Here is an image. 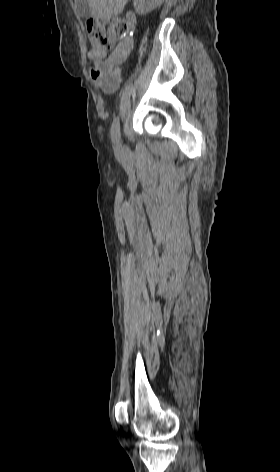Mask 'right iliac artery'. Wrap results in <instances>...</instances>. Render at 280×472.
<instances>
[{"label": "right iliac artery", "mask_w": 280, "mask_h": 472, "mask_svg": "<svg viewBox=\"0 0 280 472\" xmlns=\"http://www.w3.org/2000/svg\"><path fill=\"white\" fill-rule=\"evenodd\" d=\"M111 138L113 143L115 144L117 150H120L121 146V137H120V124H119V118L116 117L112 123V128H111Z\"/></svg>", "instance_id": "obj_1"}]
</instances>
